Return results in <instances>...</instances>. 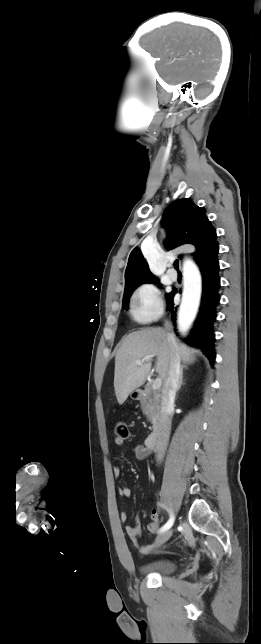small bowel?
<instances>
[{
    "instance_id": "c3829d8e",
    "label": "small bowel",
    "mask_w": 261,
    "mask_h": 644,
    "mask_svg": "<svg viewBox=\"0 0 261 644\" xmlns=\"http://www.w3.org/2000/svg\"><path fill=\"white\" fill-rule=\"evenodd\" d=\"M115 444L117 446H122L124 444V440L120 438H116ZM132 453L137 459L143 460V459H146L151 454V450L142 444H136L132 447ZM113 474L116 478L120 476V467L118 465H115L113 467ZM131 493L132 492L129 487H122L119 490V494L122 498H129L131 496ZM120 519L122 522L127 521L128 516L125 511L121 512ZM159 525H160L159 512L156 509H153L150 514V522L147 526V529L150 533L153 534L157 532ZM125 532L129 540L136 546V548L138 549V552L141 555H147L155 550H158L162 546V544L157 543L156 540L154 543L150 545H140L138 543V537L141 533V527L139 524V515H136L134 525L125 527Z\"/></svg>"
}]
</instances>
